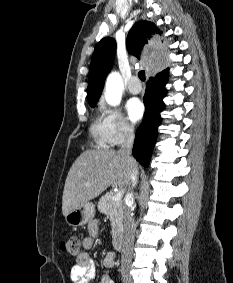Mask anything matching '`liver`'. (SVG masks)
<instances>
[{
    "mask_svg": "<svg viewBox=\"0 0 233 283\" xmlns=\"http://www.w3.org/2000/svg\"><path fill=\"white\" fill-rule=\"evenodd\" d=\"M136 161L113 150H86L72 164L64 186L62 213L98 197L109 186L127 187L132 182Z\"/></svg>",
    "mask_w": 233,
    "mask_h": 283,
    "instance_id": "1",
    "label": "liver"
}]
</instances>
